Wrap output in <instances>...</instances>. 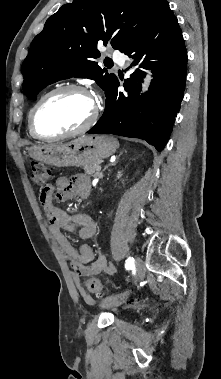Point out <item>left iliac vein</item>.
I'll return each mask as SVG.
<instances>
[{"label":"left iliac vein","mask_w":221,"mask_h":379,"mask_svg":"<svg viewBox=\"0 0 221 379\" xmlns=\"http://www.w3.org/2000/svg\"><path fill=\"white\" fill-rule=\"evenodd\" d=\"M135 269H136L135 282H139L145 276L144 263L140 257L136 258ZM128 294H129L128 292H125V293H121V294L109 297L102 302V306L103 307L118 306L126 300V298L128 297Z\"/></svg>","instance_id":"obj_1"}]
</instances>
